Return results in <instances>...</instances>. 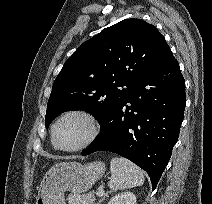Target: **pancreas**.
Returning a JSON list of instances; mask_svg holds the SVG:
<instances>
[{
  "label": "pancreas",
  "instance_id": "1",
  "mask_svg": "<svg viewBox=\"0 0 212 204\" xmlns=\"http://www.w3.org/2000/svg\"><path fill=\"white\" fill-rule=\"evenodd\" d=\"M95 194L94 191L85 195L71 193L68 195L67 200L69 204H94L96 201Z\"/></svg>",
  "mask_w": 212,
  "mask_h": 204
}]
</instances>
